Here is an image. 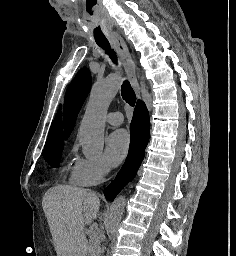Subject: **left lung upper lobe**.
<instances>
[{"label": "left lung upper lobe", "instance_id": "left-lung-upper-lobe-1", "mask_svg": "<svg viewBox=\"0 0 236 256\" xmlns=\"http://www.w3.org/2000/svg\"><path fill=\"white\" fill-rule=\"evenodd\" d=\"M91 87V74L87 68L81 69L69 85L64 102L65 138L71 134L79 110L84 103Z\"/></svg>", "mask_w": 236, "mask_h": 256}]
</instances>
